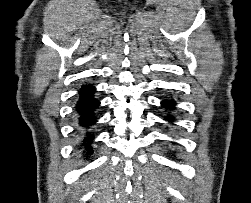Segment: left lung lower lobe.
<instances>
[{"label": "left lung lower lobe", "mask_w": 251, "mask_h": 203, "mask_svg": "<svg viewBox=\"0 0 251 203\" xmlns=\"http://www.w3.org/2000/svg\"><path fill=\"white\" fill-rule=\"evenodd\" d=\"M176 102L172 98L164 99L161 102V107L166 110V115L164 116V120H167L170 123L175 121V117L173 115V110L175 109Z\"/></svg>", "instance_id": "0a47b994"}]
</instances>
